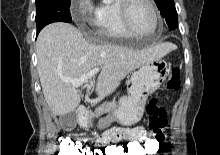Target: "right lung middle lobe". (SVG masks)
I'll return each mask as SVG.
<instances>
[{
  "label": "right lung middle lobe",
  "mask_w": 220,
  "mask_h": 155,
  "mask_svg": "<svg viewBox=\"0 0 220 155\" xmlns=\"http://www.w3.org/2000/svg\"><path fill=\"white\" fill-rule=\"evenodd\" d=\"M71 0H36V25L41 30L45 25L52 22L72 21L70 14Z\"/></svg>",
  "instance_id": "right-lung-middle-lobe-1"
}]
</instances>
